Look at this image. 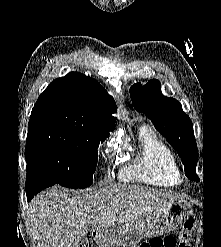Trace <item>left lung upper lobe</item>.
<instances>
[{"mask_svg": "<svg viewBox=\"0 0 221 247\" xmlns=\"http://www.w3.org/2000/svg\"><path fill=\"white\" fill-rule=\"evenodd\" d=\"M130 96L134 108L149 117L155 128L177 151L188 179L200 181L196 175L198 150L193 125L179 101L162 95L160 82L156 79L148 81L143 87L140 83L134 84L130 88Z\"/></svg>", "mask_w": 221, "mask_h": 247, "instance_id": "obj_1", "label": "left lung upper lobe"}]
</instances>
